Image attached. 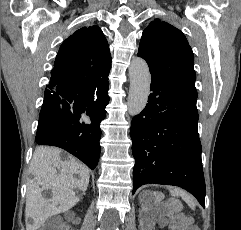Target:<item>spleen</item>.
I'll return each mask as SVG.
<instances>
[{"mask_svg":"<svg viewBox=\"0 0 241 230\" xmlns=\"http://www.w3.org/2000/svg\"><path fill=\"white\" fill-rule=\"evenodd\" d=\"M171 193L175 197L181 196L192 209L195 208V201L192 199L190 195L180 190H174V191H171Z\"/></svg>","mask_w":241,"mask_h":230,"instance_id":"3e777b00","label":"spleen"}]
</instances>
